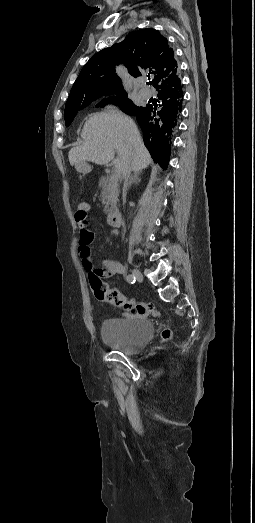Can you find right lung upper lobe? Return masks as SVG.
I'll use <instances>...</instances> for the list:
<instances>
[{
  "label": "right lung upper lobe",
  "instance_id": "cb5924a9",
  "mask_svg": "<svg viewBox=\"0 0 255 523\" xmlns=\"http://www.w3.org/2000/svg\"><path fill=\"white\" fill-rule=\"evenodd\" d=\"M117 64H124L133 77L153 78L158 104L138 107L129 100L123 109L136 116L152 158L166 168L184 94L173 49L157 30L132 32L121 43L96 53L82 68L66 104L90 102L103 95L127 94L115 73Z\"/></svg>",
  "mask_w": 255,
  "mask_h": 523
}]
</instances>
